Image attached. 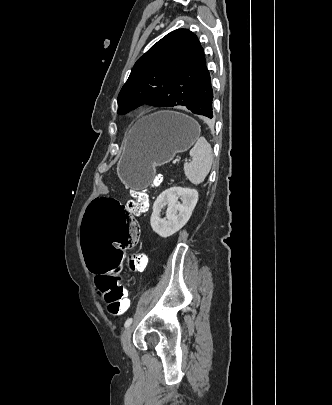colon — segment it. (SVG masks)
I'll list each match as a JSON object with an SVG mask.
<instances>
[{"label":"colon","instance_id":"obj_1","mask_svg":"<svg viewBox=\"0 0 332 405\" xmlns=\"http://www.w3.org/2000/svg\"><path fill=\"white\" fill-rule=\"evenodd\" d=\"M148 205L146 192L134 189L127 207L119 197H93L92 202L87 203L88 211L84 212L85 220L81 227L84 268H89V272L96 275L97 288L108 313L115 317L125 313L129 307L120 273L125 265L123 257L127 256V249H136L141 236V227H137L133 211L143 213ZM128 266L132 272H143L147 267V258L143 254L130 255Z\"/></svg>","mask_w":332,"mask_h":405}]
</instances>
